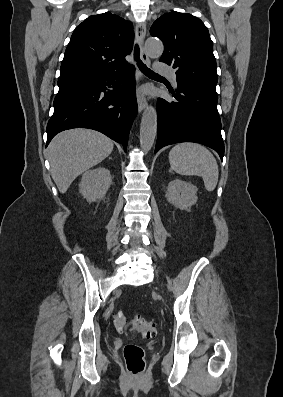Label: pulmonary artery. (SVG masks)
Listing matches in <instances>:
<instances>
[{
  "mask_svg": "<svg viewBox=\"0 0 283 397\" xmlns=\"http://www.w3.org/2000/svg\"><path fill=\"white\" fill-rule=\"evenodd\" d=\"M156 70H157V72H159L160 74L168 75V76L171 78L173 84H174V85L177 84V81H176V73H175V71H174L172 68H170V67H168V66H166V65H164V64H162V63H158V64L156 65Z\"/></svg>",
  "mask_w": 283,
  "mask_h": 397,
  "instance_id": "1",
  "label": "pulmonary artery"
}]
</instances>
